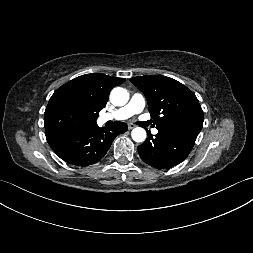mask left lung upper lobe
<instances>
[{
    "mask_svg": "<svg viewBox=\"0 0 253 253\" xmlns=\"http://www.w3.org/2000/svg\"><path fill=\"white\" fill-rule=\"evenodd\" d=\"M130 81L145 94L158 131L198 136L203 127V111L186 86L161 75L138 76Z\"/></svg>",
    "mask_w": 253,
    "mask_h": 253,
    "instance_id": "left-lung-upper-lobe-1",
    "label": "left lung upper lobe"
}]
</instances>
